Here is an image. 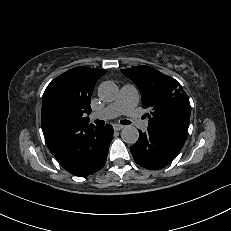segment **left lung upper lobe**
I'll use <instances>...</instances> for the list:
<instances>
[{
  "instance_id": "5c2ea615",
  "label": "left lung upper lobe",
  "mask_w": 231,
  "mask_h": 231,
  "mask_svg": "<svg viewBox=\"0 0 231 231\" xmlns=\"http://www.w3.org/2000/svg\"><path fill=\"white\" fill-rule=\"evenodd\" d=\"M121 72L138 86L142 94L143 108L151 111L149 126L187 135L190 102L174 78L149 66H136L122 69Z\"/></svg>"
}]
</instances>
